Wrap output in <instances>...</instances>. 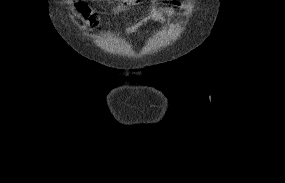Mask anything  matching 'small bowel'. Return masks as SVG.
Wrapping results in <instances>:
<instances>
[{
  "label": "small bowel",
  "instance_id": "obj_1",
  "mask_svg": "<svg viewBox=\"0 0 285 183\" xmlns=\"http://www.w3.org/2000/svg\"><path fill=\"white\" fill-rule=\"evenodd\" d=\"M116 5L112 8L111 13L112 14H118L124 11H127L131 9L132 3L136 2L133 0H116ZM152 3V8L149 10V12L129 25L125 29V33L127 35L135 33L140 27H142L145 23L150 21H164L168 17H174L176 16V10L173 7H162L158 5L157 0H150Z\"/></svg>",
  "mask_w": 285,
  "mask_h": 183
}]
</instances>
